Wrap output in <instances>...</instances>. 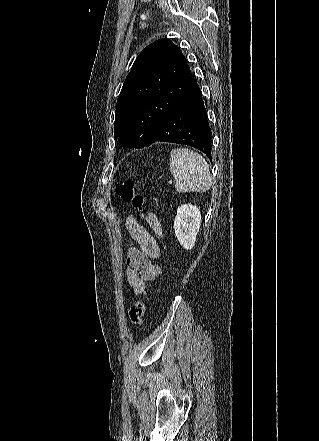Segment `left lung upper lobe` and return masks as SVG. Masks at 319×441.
<instances>
[{"label":"left lung upper lobe","instance_id":"5c2ea615","mask_svg":"<svg viewBox=\"0 0 319 441\" xmlns=\"http://www.w3.org/2000/svg\"><path fill=\"white\" fill-rule=\"evenodd\" d=\"M193 79L186 58L169 39L157 40L143 49L117 100L114 138H118L119 145H151Z\"/></svg>","mask_w":319,"mask_h":441}]
</instances>
